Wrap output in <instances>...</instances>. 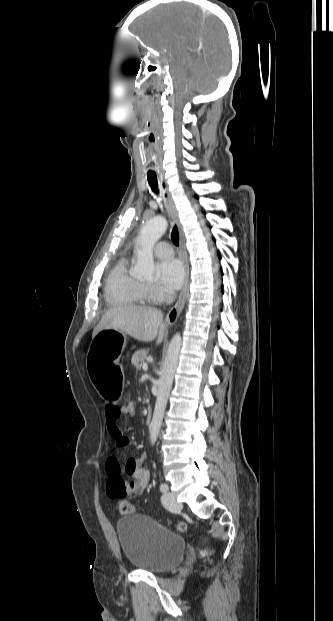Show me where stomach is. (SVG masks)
Wrapping results in <instances>:
<instances>
[{
  "instance_id": "stomach-1",
  "label": "stomach",
  "mask_w": 333,
  "mask_h": 621,
  "mask_svg": "<svg viewBox=\"0 0 333 621\" xmlns=\"http://www.w3.org/2000/svg\"><path fill=\"white\" fill-rule=\"evenodd\" d=\"M126 338L122 331L105 329L99 332L90 344L86 365L95 391L103 397V400L112 398L117 402L124 391L122 370L124 358L121 348Z\"/></svg>"
}]
</instances>
